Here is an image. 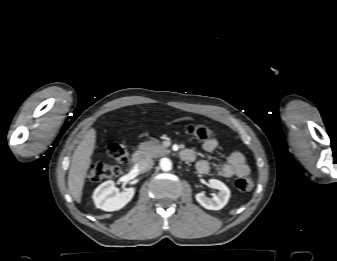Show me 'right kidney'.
Wrapping results in <instances>:
<instances>
[{
  "instance_id": "obj_1",
  "label": "right kidney",
  "mask_w": 337,
  "mask_h": 261,
  "mask_svg": "<svg viewBox=\"0 0 337 261\" xmlns=\"http://www.w3.org/2000/svg\"><path fill=\"white\" fill-rule=\"evenodd\" d=\"M134 193L135 189L132 187L119 192L114 182L109 180L95 189L93 200L97 208L111 212L123 208L133 198Z\"/></svg>"
}]
</instances>
